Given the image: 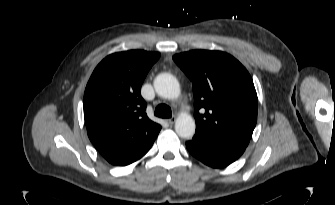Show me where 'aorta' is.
<instances>
[{"label": "aorta", "instance_id": "762f6f07", "mask_svg": "<svg viewBox=\"0 0 335 205\" xmlns=\"http://www.w3.org/2000/svg\"><path fill=\"white\" fill-rule=\"evenodd\" d=\"M156 93L166 99L174 100L180 95V85L175 76L161 73L154 80ZM195 121L191 115L182 113L175 122V131L181 137L190 139L195 134Z\"/></svg>", "mask_w": 335, "mask_h": 205}]
</instances>
